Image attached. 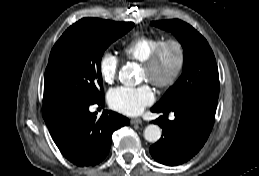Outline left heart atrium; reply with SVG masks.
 Masks as SVG:
<instances>
[{
	"mask_svg": "<svg viewBox=\"0 0 259 176\" xmlns=\"http://www.w3.org/2000/svg\"><path fill=\"white\" fill-rule=\"evenodd\" d=\"M154 93L148 84L136 87L119 86L108 93V103L112 109L122 114L134 116L154 101Z\"/></svg>",
	"mask_w": 259,
	"mask_h": 176,
	"instance_id": "left-heart-atrium-1",
	"label": "left heart atrium"
}]
</instances>
